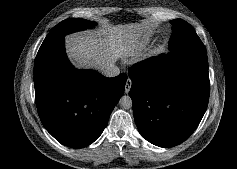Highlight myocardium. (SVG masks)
<instances>
[{"label":"myocardium","instance_id":"1","mask_svg":"<svg viewBox=\"0 0 237 169\" xmlns=\"http://www.w3.org/2000/svg\"><path fill=\"white\" fill-rule=\"evenodd\" d=\"M163 48H164V44H159V45H157V46L154 48V50L151 52V54H152V55H153V54H157V53H159Z\"/></svg>","mask_w":237,"mask_h":169}]
</instances>
